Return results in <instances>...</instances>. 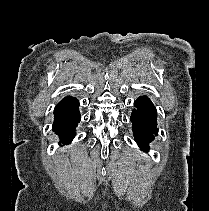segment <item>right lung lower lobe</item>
Segmentation results:
<instances>
[{"label": "right lung lower lobe", "instance_id": "98d812e1", "mask_svg": "<svg viewBox=\"0 0 209 211\" xmlns=\"http://www.w3.org/2000/svg\"><path fill=\"white\" fill-rule=\"evenodd\" d=\"M78 106L79 101L76 98L66 97L57 104L54 110L53 131L66 145L73 140L74 129L81 119Z\"/></svg>", "mask_w": 209, "mask_h": 211}]
</instances>
